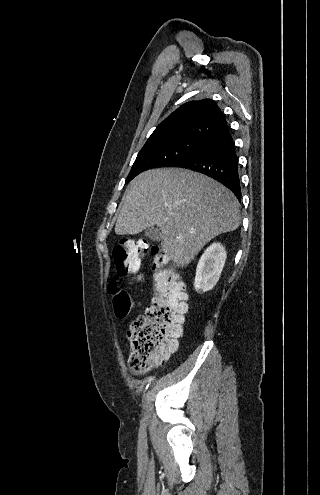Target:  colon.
<instances>
[{"label":"colon","instance_id":"1","mask_svg":"<svg viewBox=\"0 0 320 495\" xmlns=\"http://www.w3.org/2000/svg\"><path fill=\"white\" fill-rule=\"evenodd\" d=\"M151 251L155 256L154 296L145 313L135 318L127 331L130 342L129 367L143 373L160 364L175 351L187 312V295L178 274L168 265L157 247L143 239H122L114 247L117 273L121 277L139 272L142 258ZM115 313L129 315L133 301L129 293L115 282L109 286Z\"/></svg>","mask_w":320,"mask_h":495}]
</instances>
